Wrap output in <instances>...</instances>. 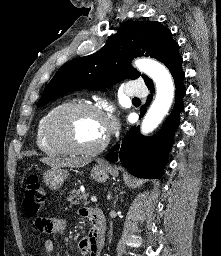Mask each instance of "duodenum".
<instances>
[{
    "label": "duodenum",
    "instance_id": "1",
    "mask_svg": "<svg viewBox=\"0 0 221 256\" xmlns=\"http://www.w3.org/2000/svg\"><path fill=\"white\" fill-rule=\"evenodd\" d=\"M92 235L95 239L103 241L105 233V219L100 210L95 209L92 215Z\"/></svg>",
    "mask_w": 221,
    "mask_h": 256
}]
</instances>
